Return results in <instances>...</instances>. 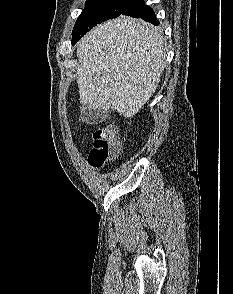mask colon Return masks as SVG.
Segmentation results:
<instances>
[{"label":"colon","mask_w":233,"mask_h":294,"mask_svg":"<svg viewBox=\"0 0 233 294\" xmlns=\"http://www.w3.org/2000/svg\"><path fill=\"white\" fill-rule=\"evenodd\" d=\"M92 138L93 147L89 154V162L92 166L101 167L119 153L120 143L114 125L97 127L93 131Z\"/></svg>","instance_id":"colon-1"}]
</instances>
